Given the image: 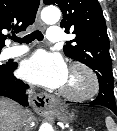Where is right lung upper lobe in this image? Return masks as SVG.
I'll return each instance as SVG.
<instances>
[{
  "instance_id": "right-lung-upper-lobe-1",
  "label": "right lung upper lobe",
  "mask_w": 117,
  "mask_h": 131,
  "mask_svg": "<svg viewBox=\"0 0 117 131\" xmlns=\"http://www.w3.org/2000/svg\"><path fill=\"white\" fill-rule=\"evenodd\" d=\"M40 0H0V51L5 46L3 30L21 32L34 23Z\"/></svg>"
}]
</instances>
